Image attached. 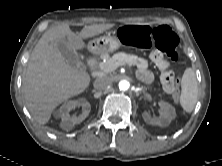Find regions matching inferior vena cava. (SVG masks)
Here are the masks:
<instances>
[{"label":"inferior vena cava","instance_id":"inferior-vena-cava-1","mask_svg":"<svg viewBox=\"0 0 222 166\" xmlns=\"http://www.w3.org/2000/svg\"><path fill=\"white\" fill-rule=\"evenodd\" d=\"M111 84L112 80L108 77L97 78L93 83L94 88L99 90L107 89L110 87Z\"/></svg>","mask_w":222,"mask_h":166}]
</instances>
